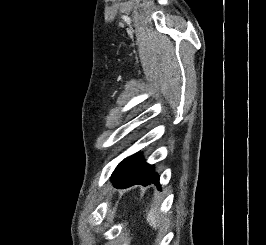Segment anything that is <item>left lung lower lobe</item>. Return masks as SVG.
I'll return each instance as SVG.
<instances>
[{"label":"left lung lower lobe","mask_w":266,"mask_h":245,"mask_svg":"<svg viewBox=\"0 0 266 245\" xmlns=\"http://www.w3.org/2000/svg\"><path fill=\"white\" fill-rule=\"evenodd\" d=\"M112 183L116 188H127L135 184L147 186L150 183H155L160 189L159 177L154 172L153 166L144 163L141 155H137L136 161L128 173L112 177Z\"/></svg>","instance_id":"obj_1"}]
</instances>
